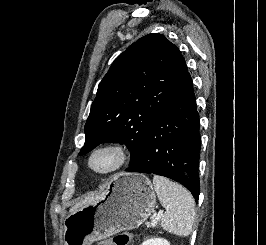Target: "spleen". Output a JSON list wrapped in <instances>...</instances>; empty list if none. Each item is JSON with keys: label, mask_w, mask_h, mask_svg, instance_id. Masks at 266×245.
<instances>
[{"label": "spleen", "mask_w": 266, "mask_h": 245, "mask_svg": "<svg viewBox=\"0 0 266 245\" xmlns=\"http://www.w3.org/2000/svg\"><path fill=\"white\" fill-rule=\"evenodd\" d=\"M154 191L164 209H166L162 227L168 233L188 237L192 233L195 213V201L182 185L172 183L166 177H153Z\"/></svg>", "instance_id": "1"}]
</instances>
